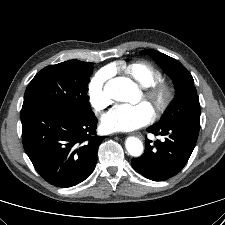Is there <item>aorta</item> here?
Returning a JSON list of instances; mask_svg holds the SVG:
<instances>
[{"label":"aorta","mask_w":225,"mask_h":225,"mask_svg":"<svg viewBox=\"0 0 225 225\" xmlns=\"http://www.w3.org/2000/svg\"><path fill=\"white\" fill-rule=\"evenodd\" d=\"M136 89L135 83L126 77L112 78L104 86L106 95L116 101H130ZM125 147L133 157L141 156L144 150L141 140L133 136L126 139Z\"/></svg>","instance_id":"obj_1"}]
</instances>
